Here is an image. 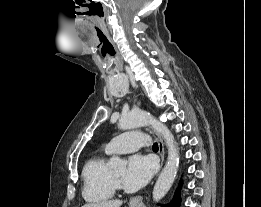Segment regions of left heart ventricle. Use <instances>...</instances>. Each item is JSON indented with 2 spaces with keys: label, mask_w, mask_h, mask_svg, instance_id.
<instances>
[{
  "label": "left heart ventricle",
  "mask_w": 261,
  "mask_h": 207,
  "mask_svg": "<svg viewBox=\"0 0 261 207\" xmlns=\"http://www.w3.org/2000/svg\"><path fill=\"white\" fill-rule=\"evenodd\" d=\"M126 169L124 167L119 168V169H115L113 170V173L115 174V176L120 179L121 181L123 180V177L125 175Z\"/></svg>",
  "instance_id": "b2bd125f"
}]
</instances>
